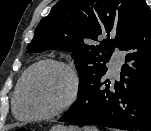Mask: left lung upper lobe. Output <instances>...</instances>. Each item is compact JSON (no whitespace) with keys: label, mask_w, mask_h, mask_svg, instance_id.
<instances>
[{"label":"left lung upper lobe","mask_w":151,"mask_h":131,"mask_svg":"<svg viewBox=\"0 0 151 131\" xmlns=\"http://www.w3.org/2000/svg\"><path fill=\"white\" fill-rule=\"evenodd\" d=\"M144 0H61L38 24L31 53L60 48L72 52L81 95L107 73L114 48L123 50Z\"/></svg>","instance_id":"5c2ea615"}]
</instances>
